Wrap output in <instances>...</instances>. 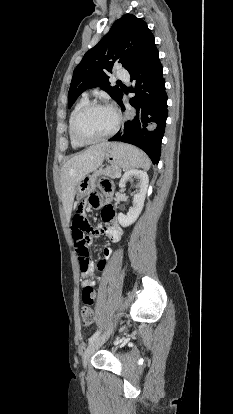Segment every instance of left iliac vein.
<instances>
[{
  "label": "left iliac vein",
  "instance_id": "obj_1",
  "mask_svg": "<svg viewBox=\"0 0 233 414\" xmlns=\"http://www.w3.org/2000/svg\"><path fill=\"white\" fill-rule=\"evenodd\" d=\"M112 332V328L107 331L104 335L98 337L95 339L85 350L83 354V366L84 368L87 367V364L91 358V356L94 354L96 350H98L101 345L106 341V339L109 337V335Z\"/></svg>",
  "mask_w": 233,
  "mask_h": 414
}]
</instances>
